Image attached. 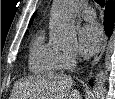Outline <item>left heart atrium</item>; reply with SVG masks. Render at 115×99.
Listing matches in <instances>:
<instances>
[{
    "label": "left heart atrium",
    "mask_w": 115,
    "mask_h": 99,
    "mask_svg": "<svg viewBox=\"0 0 115 99\" xmlns=\"http://www.w3.org/2000/svg\"><path fill=\"white\" fill-rule=\"evenodd\" d=\"M103 42V31L99 24L88 23L79 32V49L82 55L91 56L96 53Z\"/></svg>",
    "instance_id": "left-heart-atrium-1"
}]
</instances>
